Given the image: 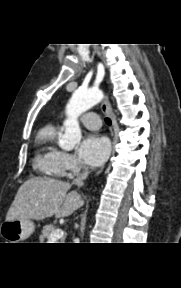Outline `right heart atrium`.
<instances>
[{"instance_id": "right-heart-atrium-1", "label": "right heart atrium", "mask_w": 181, "mask_h": 288, "mask_svg": "<svg viewBox=\"0 0 181 288\" xmlns=\"http://www.w3.org/2000/svg\"><path fill=\"white\" fill-rule=\"evenodd\" d=\"M80 170H81V164L77 160V158L70 153L63 152L62 164L58 172V176L71 177L72 175L79 173Z\"/></svg>"}]
</instances>
